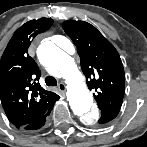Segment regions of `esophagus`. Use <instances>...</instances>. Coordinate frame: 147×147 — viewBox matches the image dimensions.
Segmentation results:
<instances>
[{
  "instance_id": "34e87169",
  "label": "esophagus",
  "mask_w": 147,
  "mask_h": 147,
  "mask_svg": "<svg viewBox=\"0 0 147 147\" xmlns=\"http://www.w3.org/2000/svg\"><path fill=\"white\" fill-rule=\"evenodd\" d=\"M58 88L61 92H66V85L64 83H59Z\"/></svg>"
}]
</instances>
